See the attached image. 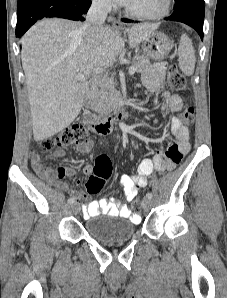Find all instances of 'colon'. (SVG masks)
Instances as JSON below:
<instances>
[{"mask_svg": "<svg viewBox=\"0 0 227 298\" xmlns=\"http://www.w3.org/2000/svg\"><path fill=\"white\" fill-rule=\"evenodd\" d=\"M168 82L175 91H184L186 89V79L178 71L176 66H171L168 71ZM180 120L187 125L194 122V109L190 106L186 107L180 116ZM89 139V130L82 123L73 124L53 137L46 138L41 142L43 150L55 152L61 151L74 145H80ZM112 163L107 156H100L95 164L94 173L87 181V191L89 194H98L103 189L106 180L111 176ZM134 212L140 213V199L133 201Z\"/></svg>", "mask_w": 227, "mask_h": 298, "instance_id": "obj_1", "label": "colon"}]
</instances>
